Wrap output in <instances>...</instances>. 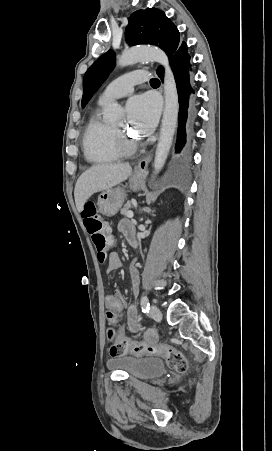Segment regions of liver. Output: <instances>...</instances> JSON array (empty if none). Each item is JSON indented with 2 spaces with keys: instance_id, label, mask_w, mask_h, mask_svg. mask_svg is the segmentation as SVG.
Segmentation results:
<instances>
[{
  "instance_id": "6515ba94",
  "label": "liver",
  "mask_w": 272,
  "mask_h": 451,
  "mask_svg": "<svg viewBox=\"0 0 272 451\" xmlns=\"http://www.w3.org/2000/svg\"><path fill=\"white\" fill-rule=\"evenodd\" d=\"M132 172L129 164H98L91 166L78 178L74 190L75 204L78 212H83L84 204L95 192L109 190L124 182Z\"/></svg>"
}]
</instances>
